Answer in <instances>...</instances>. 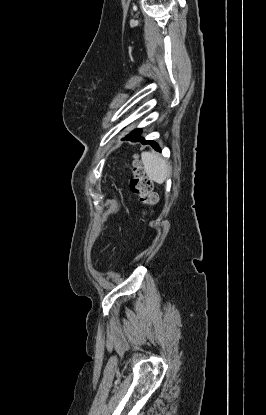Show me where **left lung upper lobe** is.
<instances>
[{"mask_svg":"<svg viewBox=\"0 0 266 415\" xmlns=\"http://www.w3.org/2000/svg\"><path fill=\"white\" fill-rule=\"evenodd\" d=\"M141 131H142V129H135L130 134H128L127 137H136V136H139L141 134Z\"/></svg>","mask_w":266,"mask_h":415,"instance_id":"left-lung-upper-lobe-1","label":"left lung upper lobe"}]
</instances>
